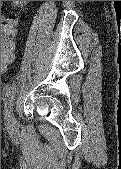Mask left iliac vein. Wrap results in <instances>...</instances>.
I'll return each mask as SVG.
<instances>
[{"mask_svg": "<svg viewBox=\"0 0 121 169\" xmlns=\"http://www.w3.org/2000/svg\"><path fill=\"white\" fill-rule=\"evenodd\" d=\"M7 120L11 127H15L17 125V121L12 114L8 116Z\"/></svg>", "mask_w": 121, "mask_h": 169, "instance_id": "obj_1", "label": "left iliac vein"}]
</instances>
